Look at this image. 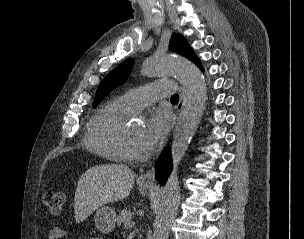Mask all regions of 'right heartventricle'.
I'll use <instances>...</instances> for the list:
<instances>
[{
  "label": "right heart ventricle",
  "mask_w": 304,
  "mask_h": 239,
  "mask_svg": "<svg viewBox=\"0 0 304 239\" xmlns=\"http://www.w3.org/2000/svg\"><path fill=\"white\" fill-rule=\"evenodd\" d=\"M131 110L120 99L100 108L86 124L83 135L84 147L104 159L122 161L118 141L124 127V117Z\"/></svg>",
  "instance_id": "right-heart-ventricle-1"
}]
</instances>
